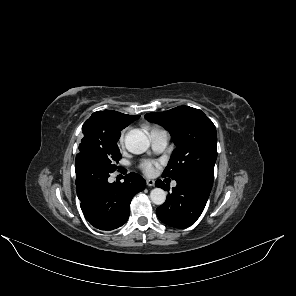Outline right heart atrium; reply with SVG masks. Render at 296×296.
<instances>
[{
  "label": "right heart atrium",
  "instance_id": "obj_1",
  "mask_svg": "<svg viewBox=\"0 0 296 296\" xmlns=\"http://www.w3.org/2000/svg\"><path fill=\"white\" fill-rule=\"evenodd\" d=\"M126 135H127V130H124V131L121 133L120 137H119V144H120L121 146H123L124 143H125Z\"/></svg>",
  "mask_w": 296,
  "mask_h": 296
}]
</instances>
